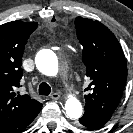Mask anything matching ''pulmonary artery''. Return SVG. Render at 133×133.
Masks as SVG:
<instances>
[{
	"instance_id": "obj_1",
	"label": "pulmonary artery",
	"mask_w": 133,
	"mask_h": 133,
	"mask_svg": "<svg viewBox=\"0 0 133 133\" xmlns=\"http://www.w3.org/2000/svg\"><path fill=\"white\" fill-rule=\"evenodd\" d=\"M61 76H62L63 80L66 81V79H67V69H66V67L62 68Z\"/></svg>"
}]
</instances>
